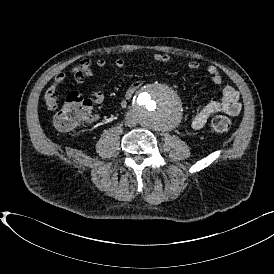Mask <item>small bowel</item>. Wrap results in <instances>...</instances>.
<instances>
[{
    "label": "small bowel",
    "instance_id": "1",
    "mask_svg": "<svg viewBox=\"0 0 274 274\" xmlns=\"http://www.w3.org/2000/svg\"><path fill=\"white\" fill-rule=\"evenodd\" d=\"M151 60L157 63L166 64L173 62L170 55L165 53H155L151 55ZM107 65V61L104 58H98L94 62L91 59H83L76 66L70 70V75L73 77L76 83L82 84L86 78H91L94 75V67L104 68ZM114 65L118 69H122L125 66V60L117 58ZM190 70H198L200 63L196 60H192L185 65ZM206 71L211 81L216 85H221L224 81V77L220 70L212 64L207 65ZM66 81V75L63 73L58 74L48 89L42 91L41 96L45 103H47L50 112L55 113L58 111L59 106L56 98L54 97L58 88ZM143 85V81L138 80L132 83L126 90L121 106L126 107L133 94ZM80 97L79 95H77ZM104 93L101 90H93L90 93V97L82 99L86 105L91 109L95 106H99L104 101ZM241 111V103L238 91L232 86H225L222 90V99L220 101H210L201 106L191 117L190 126L193 130H200L204 127L210 116L217 113H224L230 116H235ZM100 119L99 114L92 113L89 115L87 122L96 123Z\"/></svg>",
    "mask_w": 274,
    "mask_h": 274
}]
</instances>
